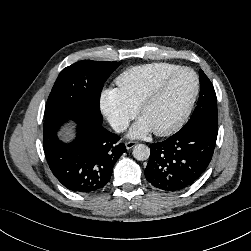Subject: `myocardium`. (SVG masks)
<instances>
[{"label":"myocardium","instance_id":"obj_1","mask_svg":"<svg viewBox=\"0 0 251 251\" xmlns=\"http://www.w3.org/2000/svg\"><path fill=\"white\" fill-rule=\"evenodd\" d=\"M183 72L191 73L194 76V79H195L194 91H193L191 98H190L187 106L185 107L183 113L181 114V116L178 118V120L173 125H171L170 127L166 128V129L153 130L154 134L157 136L164 137V136H169V135L174 134L180 128H182L183 125L188 120V118L192 112V109L195 105V102L197 100V97L199 95V91H200V80H199L197 73L188 67H180L177 70L169 73L168 75L163 77L159 82H157L151 88V90L146 94V96L143 98V100L141 101V103L138 107V113L140 116H142L144 110L158 99V97L161 95V93L167 87V85L170 83V81L174 77H176L178 74L183 73Z\"/></svg>","mask_w":251,"mask_h":251}]
</instances>
